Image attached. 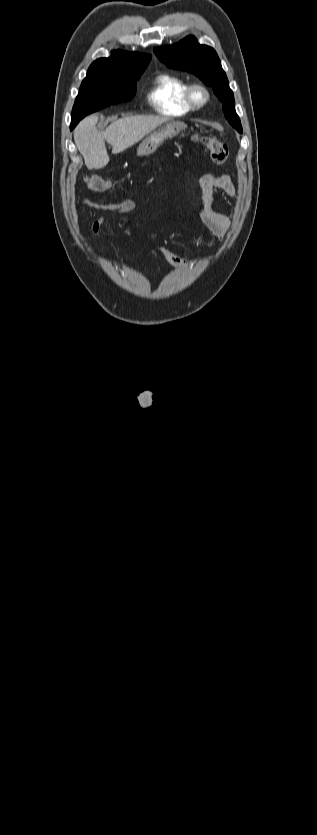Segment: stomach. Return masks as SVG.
<instances>
[{"instance_id": "1", "label": "stomach", "mask_w": 317, "mask_h": 835, "mask_svg": "<svg viewBox=\"0 0 317 835\" xmlns=\"http://www.w3.org/2000/svg\"><path fill=\"white\" fill-rule=\"evenodd\" d=\"M185 128L186 125L180 121H168L156 127L140 144L137 149V154L139 156H149L150 154H153L166 138L178 135L181 131L185 130Z\"/></svg>"}]
</instances>
